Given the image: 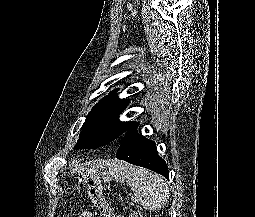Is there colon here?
I'll return each instance as SVG.
<instances>
[{
  "label": "colon",
  "instance_id": "colon-1",
  "mask_svg": "<svg viewBox=\"0 0 255 217\" xmlns=\"http://www.w3.org/2000/svg\"><path fill=\"white\" fill-rule=\"evenodd\" d=\"M88 193L96 208L101 213L107 212L106 200L102 194L100 186L97 183L93 181L88 183ZM130 217H143V215L141 211L134 210L131 212Z\"/></svg>",
  "mask_w": 255,
  "mask_h": 217
}]
</instances>
